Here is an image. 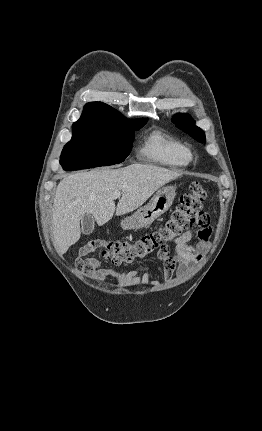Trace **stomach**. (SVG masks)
Wrapping results in <instances>:
<instances>
[{"mask_svg":"<svg viewBox=\"0 0 262 431\" xmlns=\"http://www.w3.org/2000/svg\"><path fill=\"white\" fill-rule=\"evenodd\" d=\"M175 196V187L165 186L160 188L147 205L139 208L131 216L122 220L121 227L124 230H130L150 226L155 219L171 207Z\"/></svg>","mask_w":262,"mask_h":431,"instance_id":"1","label":"stomach"}]
</instances>
